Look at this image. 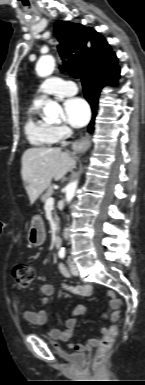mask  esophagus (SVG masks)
Listing matches in <instances>:
<instances>
[{
  "instance_id": "34e87169",
  "label": "esophagus",
  "mask_w": 145,
  "mask_h": 385,
  "mask_svg": "<svg viewBox=\"0 0 145 385\" xmlns=\"http://www.w3.org/2000/svg\"><path fill=\"white\" fill-rule=\"evenodd\" d=\"M74 149L76 151L85 152L90 147V137L89 135L85 136L81 140L74 143Z\"/></svg>"
}]
</instances>
